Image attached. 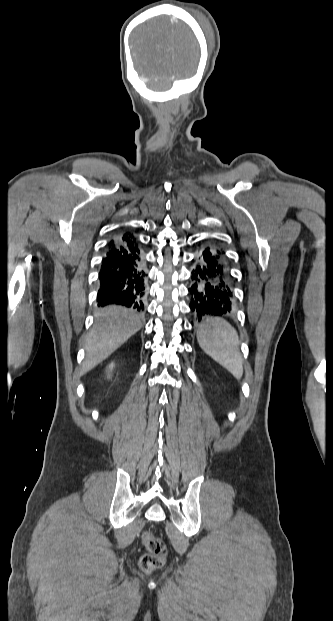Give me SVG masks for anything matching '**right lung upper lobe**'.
I'll use <instances>...</instances> for the list:
<instances>
[{
  "mask_svg": "<svg viewBox=\"0 0 333 621\" xmlns=\"http://www.w3.org/2000/svg\"><path fill=\"white\" fill-rule=\"evenodd\" d=\"M117 238L129 243V244H136V239L133 237V235L130 232H125L123 234H118Z\"/></svg>",
  "mask_w": 333,
  "mask_h": 621,
  "instance_id": "right-lung-upper-lobe-1",
  "label": "right lung upper lobe"
}]
</instances>
